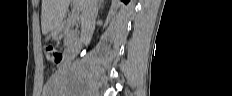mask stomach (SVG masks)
Here are the masks:
<instances>
[{"label": "stomach", "instance_id": "stomach-1", "mask_svg": "<svg viewBox=\"0 0 232 96\" xmlns=\"http://www.w3.org/2000/svg\"><path fill=\"white\" fill-rule=\"evenodd\" d=\"M54 38H58L59 36L58 35H53Z\"/></svg>", "mask_w": 232, "mask_h": 96}]
</instances>
